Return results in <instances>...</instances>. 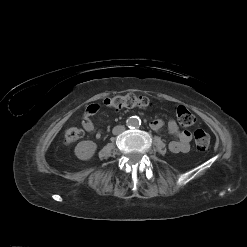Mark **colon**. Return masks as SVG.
Here are the masks:
<instances>
[{
    "mask_svg": "<svg viewBox=\"0 0 247 247\" xmlns=\"http://www.w3.org/2000/svg\"><path fill=\"white\" fill-rule=\"evenodd\" d=\"M104 106L114 109L122 108H140L145 109L150 106V100L144 96H138L133 93H128L125 95H115L109 98H106L103 102ZM176 117L179 123L183 126H191L195 123V116L185 107L179 105L176 107ZM82 136V131L76 127H70L65 130L64 133V143L66 145H71L79 140ZM194 140L196 147L205 151L209 148L210 145V136L209 134L202 130L197 129L194 132Z\"/></svg>",
    "mask_w": 247,
    "mask_h": 247,
    "instance_id": "5ec220e1",
    "label": "colon"
}]
</instances>
